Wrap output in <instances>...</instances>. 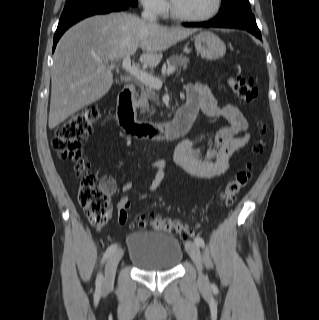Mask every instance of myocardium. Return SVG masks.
Segmentation results:
<instances>
[{
  "instance_id": "myocardium-1",
  "label": "myocardium",
  "mask_w": 319,
  "mask_h": 320,
  "mask_svg": "<svg viewBox=\"0 0 319 320\" xmlns=\"http://www.w3.org/2000/svg\"><path fill=\"white\" fill-rule=\"evenodd\" d=\"M222 6V0H215L214 1V7L213 9L205 14V15H200V16H186L178 13L173 4L170 5V15L173 19L181 21V22H190V23H196V22H205L208 21L212 18H214L218 12L220 11Z\"/></svg>"
}]
</instances>
